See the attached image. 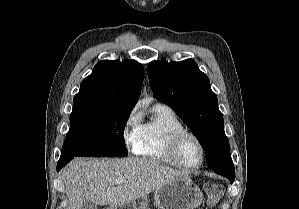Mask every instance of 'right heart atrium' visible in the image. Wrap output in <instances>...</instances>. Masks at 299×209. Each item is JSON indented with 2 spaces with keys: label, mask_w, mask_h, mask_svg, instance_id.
<instances>
[{
  "label": "right heart atrium",
  "mask_w": 299,
  "mask_h": 209,
  "mask_svg": "<svg viewBox=\"0 0 299 209\" xmlns=\"http://www.w3.org/2000/svg\"><path fill=\"white\" fill-rule=\"evenodd\" d=\"M140 117L137 109H132L127 115L122 128V138L126 147L134 150V147L138 140Z\"/></svg>",
  "instance_id": "1"
}]
</instances>
